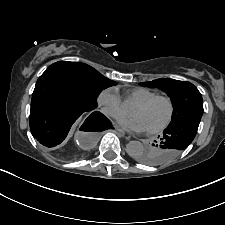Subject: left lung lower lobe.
Listing matches in <instances>:
<instances>
[{
	"mask_svg": "<svg viewBox=\"0 0 225 225\" xmlns=\"http://www.w3.org/2000/svg\"><path fill=\"white\" fill-rule=\"evenodd\" d=\"M201 116L194 115L169 124L163 131L158 142L165 147V151L152 154L151 165H161L179 155L193 141Z\"/></svg>",
	"mask_w": 225,
	"mask_h": 225,
	"instance_id": "0a47b994",
	"label": "left lung lower lobe"
}]
</instances>
